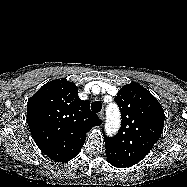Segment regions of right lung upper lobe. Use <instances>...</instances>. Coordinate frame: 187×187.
Returning a JSON list of instances; mask_svg holds the SVG:
<instances>
[{
  "label": "right lung upper lobe",
  "mask_w": 187,
  "mask_h": 187,
  "mask_svg": "<svg viewBox=\"0 0 187 187\" xmlns=\"http://www.w3.org/2000/svg\"><path fill=\"white\" fill-rule=\"evenodd\" d=\"M27 122L39 149L50 159L67 162L81 150L86 133L102 120L78 97V88L66 79L43 85L29 100Z\"/></svg>",
  "instance_id": "1"
}]
</instances>
